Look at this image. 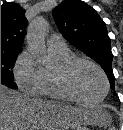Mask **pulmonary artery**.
I'll return each mask as SVG.
<instances>
[{
	"label": "pulmonary artery",
	"mask_w": 123,
	"mask_h": 130,
	"mask_svg": "<svg viewBox=\"0 0 123 130\" xmlns=\"http://www.w3.org/2000/svg\"><path fill=\"white\" fill-rule=\"evenodd\" d=\"M48 45L54 49H66L67 45L64 38L60 34H52L48 39Z\"/></svg>",
	"instance_id": "1"
}]
</instances>
